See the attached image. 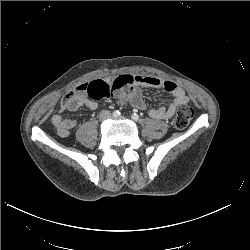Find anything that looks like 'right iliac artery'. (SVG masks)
I'll return each instance as SVG.
<instances>
[{"mask_svg":"<svg viewBox=\"0 0 250 250\" xmlns=\"http://www.w3.org/2000/svg\"><path fill=\"white\" fill-rule=\"evenodd\" d=\"M113 116L114 117H118V116H120V112L117 110V111H114L113 112Z\"/></svg>","mask_w":250,"mask_h":250,"instance_id":"1","label":"right iliac artery"}]
</instances>
